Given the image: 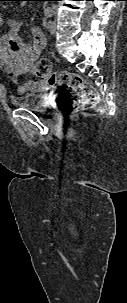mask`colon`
<instances>
[{
	"mask_svg": "<svg viewBox=\"0 0 127 303\" xmlns=\"http://www.w3.org/2000/svg\"><path fill=\"white\" fill-rule=\"evenodd\" d=\"M36 73L39 77H47L51 85L63 89L59 102L64 110L72 111L77 107L87 109L97 104L96 90L77 73L53 71L47 58H41L37 61Z\"/></svg>",
	"mask_w": 127,
	"mask_h": 303,
	"instance_id": "colon-1",
	"label": "colon"
}]
</instances>
